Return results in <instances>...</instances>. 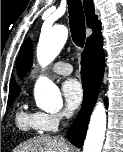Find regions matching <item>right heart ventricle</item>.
Here are the masks:
<instances>
[{
    "label": "right heart ventricle",
    "instance_id": "e07e8e85",
    "mask_svg": "<svg viewBox=\"0 0 123 152\" xmlns=\"http://www.w3.org/2000/svg\"><path fill=\"white\" fill-rule=\"evenodd\" d=\"M15 122L24 131L41 132L37 123V113L27 111L25 106H21L17 111Z\"/></svg>",
    "mask_w": 123,
    "mask_h": 152
}]
</instances>
